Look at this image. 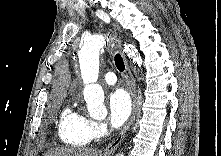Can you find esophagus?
Masks as SVG:
<instances>
[{
    "label": "esophagus",
    "mask_w": 221,
    "mask_h": 156,
    "mask_svg": "<svg viewBox=\"0 0 221 156\" xmlns=\"http://www.w3.org/2000/svg\"><path fill=\"white\" fill-rule=\"evenodd\" d=\"M119 47L122 50L120 41H119ZM122 57H123L124 64H125V73H126V78H127L128 84H129V90H130V93L132 96V102H133L132 115L130 117V120H129L127 126L122 130V132L119 134V136L116 139H114L111 143H109L108 146H106V148L104 149V152H103L104 156H111L115 152L117 147L123 141L126 132L132 126V124L135 120L136 111H137V91H136L135 80H134L133 74L131 72V68L128 63V60L123 52H122Z\"/></svg>",
    "instance_id": "1"
}]
</instances>
